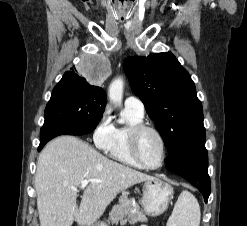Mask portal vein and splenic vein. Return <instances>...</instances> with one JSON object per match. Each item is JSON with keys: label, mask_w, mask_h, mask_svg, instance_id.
<instances>
[{"label": "portal vein and splenic vein", "mask_w": 247, "mask_h": 226, "mask_svg": "<svg viewBox=\"0 0 247 226\" xmlns=\"http://www.w3.org/2000/svg\"><path fill=\"white\" fill-rule=\"evenodd\" d=\"M89 182H93V183H100L102 182L101 180H97V179H85L81 182V186L80 188L83 189L85 188Z\"/></svg>", "instance_id": "1"}]
</instances>
